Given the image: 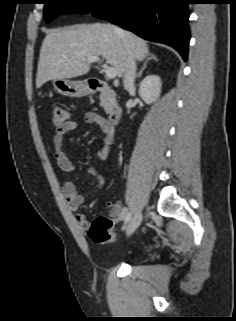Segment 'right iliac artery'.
<instances>
[{"mask_svg": "<svg viewBox=\"0 0 236 321\" xmlns=\"http://www.w3.org/2000/svg\"><path fill=\"white\" fill-rule=\"evenodd\" d=\"M130 216H131L130 213L125 212V216H124L125 223L130 219Z\"/></svg>", "mask_w": 236, "mask_h": 321, "instance_id": "82829eb1", "label": "right iliac artery"}]
</instances>
